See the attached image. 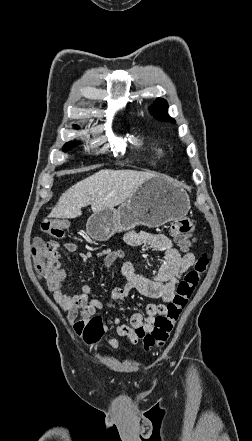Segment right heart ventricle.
Listing matches in <instances>:
<instances>
[{
  "mask_svg": "<svg viewBox=\"0 0 252 441\" xmlns=\"http://www.w3.org/2000/svg\"><path fill=\"white\" fill-rule=\"evenodd\" d=\"M148 150L152 154L155 160H159L165 155L164 148L158 144H150L148 146Z\"/></svg>",
  "mask_w": 252,
  "mask_h": 441,
  "instance_id": "obj_1",
  "label": "right heart ventricle"
}]
</instances>
